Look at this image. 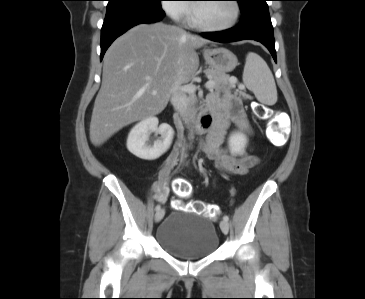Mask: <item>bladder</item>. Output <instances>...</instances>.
Here are the masks:
<instances>
[{
	"instance_id": "bladder-1",
	"label": "bladder",
	"mask_w": 365,
	"mask_h": 299,
	"mask_svg": "<svg viewBox=\"0 0 365 299\" xmlns=\"http://www.w3.org/2000/svg\"><path fill=\"white\" fill-rule=\"evenodd\" d=\"M157 244L181 259H199L213 254L219 246L214 221L198 213L174 210L156 231Z\"/></svg>"
}]
</instances>
